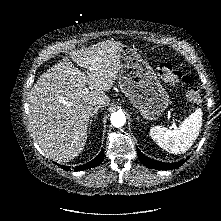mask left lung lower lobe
Returning <instances> with one entry per match:
<instances>
[{"label":"left lung lower lobe","instance_id":"1","mask_svg":"<svg viewBox=\"0 0 221 221\" xmlns=\"http://www.w3.org/2000/svg\"><path fill=\"white\" fill-rule=\"evenodd\" d=\"M139 160L148 168L157 169V170H172L181 166L185 161L181 160L175 163H164L160 161L153 160L145 156L140 150H137ZM189 158V157H188ZM187 158V159H188Z\"/></svg>","mask_w":221,"mask_h":221}]
</instances>
